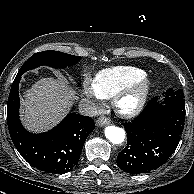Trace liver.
Wrapping results in <instances>:
<instances>
[{"mask_svg":"<svg viewBox=\"0 0 194 194\" xmlns=\"http://www.w3.org/2000/svg\"><path fill=\"white\" fill-rule=\"evenodd\" d=\"M75 92L64 78H42L24 93L21 118L33 132H43L59 123L68 113Z\"/></svg>","mask_w":194,"mask_h":194,"instance_id":"obj_1","label":"liver"}]
</instances>
